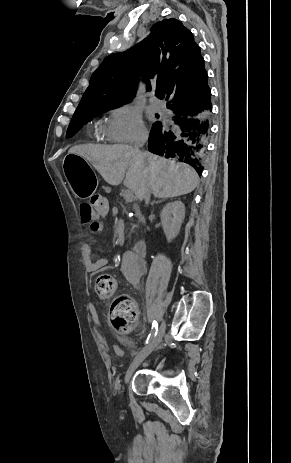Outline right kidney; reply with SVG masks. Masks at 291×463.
<instances>
[{"label":"right kidney","instance_id":"1","mask_svg":"<svg viewBox=\"0 0 291 463\" xmlns=\"http://www.w3.org/2000/svg\"><path fill=\"white\" fill-rule=\"evenodd\" d=\"M160 217L167 240L171 242L179 234L185 218V206L181 201L168 203L164 206Z\"/></svg>","mask_w":291,"mask_h":463}]
</instances>
